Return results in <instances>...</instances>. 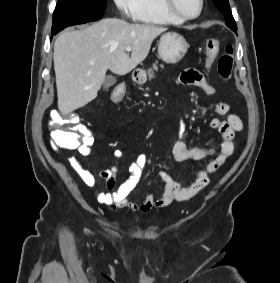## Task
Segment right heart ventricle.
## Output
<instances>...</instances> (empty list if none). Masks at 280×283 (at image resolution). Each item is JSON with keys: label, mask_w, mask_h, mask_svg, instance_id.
I'll return each instance as SVG.
<instances>
[{"label": "right heart ventricle", "mask_w": 280, "mask_h": 283, "mask_svg": "<svg viewBox=\"0 0 280 283\" xmlns=\"http://www.w3.org/2000/svg\"><path fill=\"white\" fill-rule=\"evenodd\" d=\"M133 18L149 25H179L183 22L166 10L164 0H137Z\"/></svg>", "instance_id": "obj_1"}]
</instances>
